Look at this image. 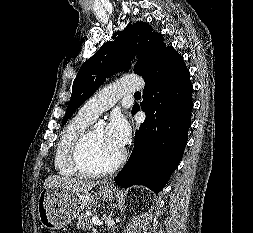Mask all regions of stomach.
<instances>
[{
    "instance_id": "1",
    "label": "stomach",
    "mask_w": 253,
    "mask_h": 233,
    "mask_svg": "<svg viewBox=\"0 0 253 233\" xmlns=\"http://www.w3.org/2000/svg\"><path fill=\"white\" fill-rule=\"evenodd\" d=\"M98 194L103 199H111L113 187L106 182L100 183ZM96 204L90 193H74L61 187L44 188L38 199V217L43 227L56 230L66 226L84 208Z\"/></svg>"
}]
</instances>
